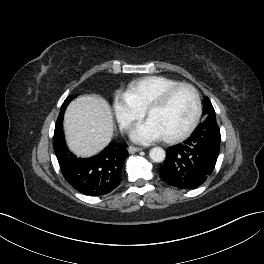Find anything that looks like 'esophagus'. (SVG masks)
<instances>
[{"mask_svg":"<svg viewBox=\"0 0 264 264\" xmlns=\"http://www.w3.org/2000/svg\"><path fill=\"white\" fill-rule=\"evenodd\" d=\"M128 151H129L130 153L140 152V151H142V148L134 147V146H130V147L128 148Z\"/></svg>","mask_w":264,"mask_h":264,"instance_id":"1","label":"esophagus"}]
</instances>
